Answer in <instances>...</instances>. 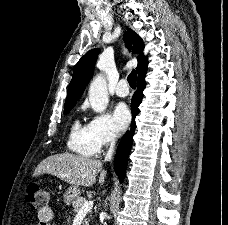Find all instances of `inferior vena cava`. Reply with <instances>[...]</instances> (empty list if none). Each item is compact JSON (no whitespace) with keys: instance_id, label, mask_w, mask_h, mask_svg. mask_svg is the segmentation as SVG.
Returning <instances> with one entry per match:
<instances>
[{"instance_id":"inferior-vena-cava-1","label":"inferior vena cava","mask_w":228,"mask_h":225,"mask_svg":"<svg viewBox=\"0 0 228 225\" xmlns=\"http://www.w3.org/2000/svg\"><path fill=\"white\" fill-rule=\"evenodd\" d=\"M115 141H116V135H114V133H112L110 149H108V151H107V155L105 157V161H111L112 155L114 153Z\"/></svg>"}]
</instances>
